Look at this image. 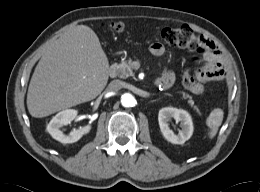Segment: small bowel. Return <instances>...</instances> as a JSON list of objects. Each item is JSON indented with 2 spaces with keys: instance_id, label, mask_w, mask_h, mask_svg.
Instances as JSON below:
<instances>
[{
  "instance_id": "obj_1",
  "label": "small bowel",
  "mask_w": 260,
  "mask_h": 192,
  "mask_svg": "<svg viewBox=\"0 0 260 192\" xmlns=\"http://www.w3.org/2000/svg\"><path fill=\"white\" fill-rule=\"evenodd\" d=\"M208 47L205 51V65L195 72L194 78L196 81V89L191 90L194 94H202L204 92V86L202 83L221 80L225 76V69L222 63L220 53L217 51L213 43L206 40ZM151 54L154 56H161L165 52V47L159 43H153L149 48ZM159 80L162 83V88H169L175 81V74L170 70H164Z\"/></svg>"
}]
</instances>
